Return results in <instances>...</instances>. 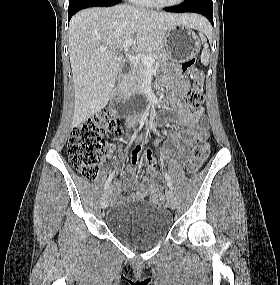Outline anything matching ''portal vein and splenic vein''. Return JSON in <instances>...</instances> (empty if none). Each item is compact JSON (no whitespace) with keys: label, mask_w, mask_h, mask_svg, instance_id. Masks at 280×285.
Segmentation results:
<instances>
[{"label":"portal vein and splenic vein","mask_w":280,"mask_h":285,"mask_svg":"<svg viewBox=\"0 0 280 285\" xmlns=\"http://www.w3.org/2000/svg\"><path fill=\"white\" fill-rule=\"evenodd\" d=\"M133 39H127L126 41H124V43L121 45V49H126L127 47L131 46L133 43ZM142 62L146 65V66H151L153 65V63L155 62V59L153 57L150 56H146L142 59Z\"/></svg>","instance_id":"18ae733b"}]
</instances>
